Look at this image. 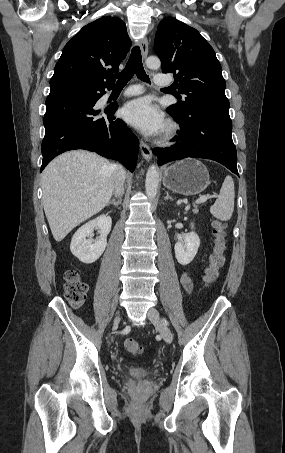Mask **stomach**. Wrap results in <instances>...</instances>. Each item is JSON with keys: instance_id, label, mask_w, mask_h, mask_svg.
<instances>
[{"instance_id": "stomach-1", "label": "stomach", "mask_w": 285, "mask_h": 453, "mask_svg": "<svg viewBox=\"0 0 285 453\" xmlns=\"http://www.w3.org/2000/svg\"><path fill=\"white\" fill-rule=\"evenodd\" d=\"M209 184V172L206 166L196 159L178 161L163 172V185L181 195H197Z\"/></svg>"}]
</instances>
